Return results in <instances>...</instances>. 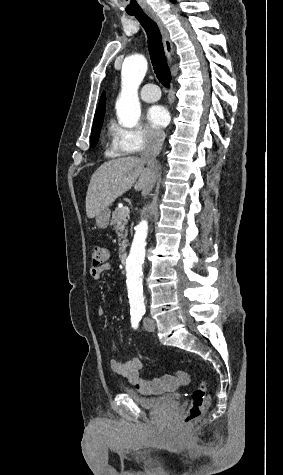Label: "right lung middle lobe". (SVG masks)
Listing matches in <instances>:
<instances>
[{
  "mask_svg": "<svg viewBox=\"0 0 283 475\" xmlns=\"http://www.w3.org/2000/svg\"><path fill=\"white\" fill-rule=\"evenodd\" d=\"M104 114H105V105L99 106L96 110L94 123L92 126L91 142H90L91 147H95L98 142L100 130H101L103 119H104Z\"/></svg>",
  "mask_w": 283,
  "mask_h": 475,
  "instance_id": "obj_1",
  "label": "right lung middle lobe"
}]
</instances>
